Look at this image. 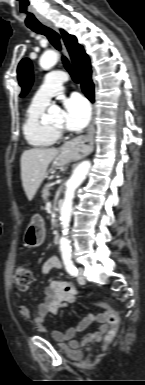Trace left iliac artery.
I'll use <instances>...</instances> for the list:
<instances>
[{
  "mask_svg": "<svg viewBox=\"0 0 145 385\" xmlns=\"http://www.w3.org/2000/svg\"><path fill=\"white\" fill-rule=\"evenodd\" d=\"M62 259L63 263L65 265L66 271L72 275L75 276L77 274V269L71 259V253L70 251H62Z\"/></svg>",
  "mask_w": 145,
  "mask_h": 385,
  "instance_id": "1",
  "label": "left iliac artery"
}]
</instances>
